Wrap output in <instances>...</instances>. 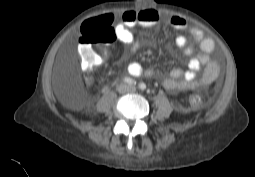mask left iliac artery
<instances>
[{
  "label": "left iliac artery",
  "instance_id": "left-iliac-artery-1",
  "mask_svg": "<svg viewBox=\"0 0 255 177\" xmlns=\"http://www.w3.org/2000/svg\"><path fill=\"white\" fill-rule=\"evenodd\" d=\"M139 89L140 90H145L146 89V85L144 83H139Z\"/></svg>",
  "mask_w": 255,
  "mask_h": 177
}]
</instances>
